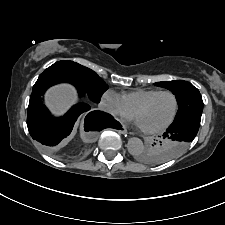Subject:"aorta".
Segmentation results:
<instances>
[{
    "instance_id": "obj_1",
    "label": "aorta",
    "mask_w": 225,
    "mask_h": 225,
    "mask_svg": "<svg viewBox=\"0 0 225 225\" xmlns=\"http://www.w3.org/2000/svg\"><path fill=\"white\" fill-rule=\"evenodd\" d=\"M127 148L132 155H136L142 152L144 145L141 139L133 137L128 140Z\"/></svg>"
}]
</instances>
